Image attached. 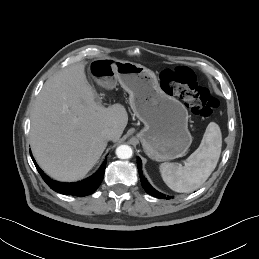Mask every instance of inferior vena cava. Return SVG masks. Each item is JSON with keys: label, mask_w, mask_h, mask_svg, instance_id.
Here are the masks:
<instances>
[{"label": "inferior vena cava", "mask_w": 259, "mask_h": 259, "mask_svg": "<svg viewBox=\"0 0 259 259\" xmlns=\"http://www.w3.org/2000/svg\"><path fill=\"white\" fill-rule=\"evenodd\" d=\"M102 135L107 139V140H113L115 137V131L112 129H105L102 132Z\"/></svg>", "instance_id": "602c4592"}]
</instances>
